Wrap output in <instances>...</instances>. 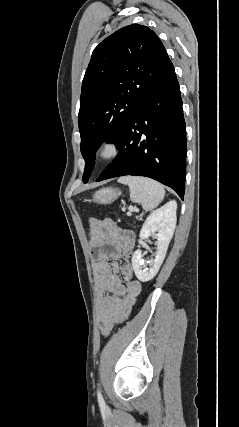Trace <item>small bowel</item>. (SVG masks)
<instances>
[{"label":"small bowel","mask_w":239,"mask_h":427,"mask_svg":"<svg viewBox=\"0 0 239 427\" xmlns=\"http://www.w3.org/2000/svg\"><path fill=\"white\" fill-rule=\"evenodd\" d=\"M91 224L94 226L91 253L98 294V320L101 332L107 335L115 324L129 316L141 292V283L134 279L133 267L128 261L134 251L135 234L119 228L111 219L91 220ZM120 258L128 263L121 266Z\"/></svg>","instance_id":"1"}]
</instances>
